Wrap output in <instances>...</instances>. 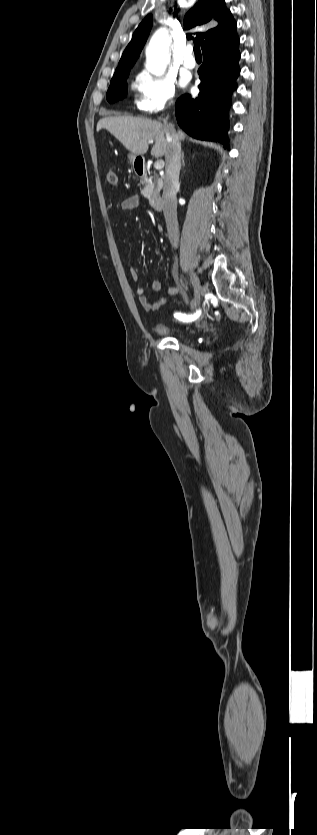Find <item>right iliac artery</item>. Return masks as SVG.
<instances>
[{
  "instance_id": "right-iliac-artery-1",
  "label": "right iliac artery",
  "mask_w": 317,
  "mask_h": 835,
  "mask_svg": "<svg viewBox=\"0 0 317 835\" xmlns=\"http://www.w3.org/2000/svg\"><path fill=\"white\" fill-rule=\"evenodd\" d=\"M200 315H201V310L200 309L197 310L196 313H194L192 315H185V314H182V313H175V316L177 318H179L181 320H185V321L196 320Z\"/></svg>"
}]
</instances>
